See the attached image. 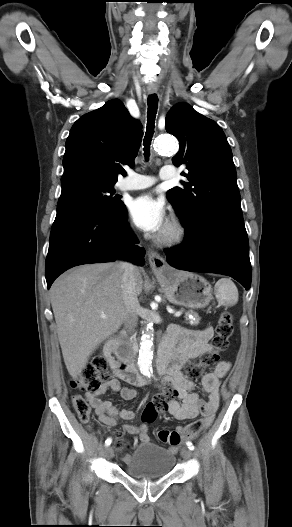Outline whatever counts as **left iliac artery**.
<instances>
[{
	"mask_svg": "<svg viewBox=\"0 0 292 527\" xmlns=\"http://www.w3.org/2000/svg\"><path fill=\"white\" fill-rule=\"evenodd\" d=\"M186 445H187V447H188L190 450H193L194 446H193L192 442L188 441V442H186Z\"/></svg>",
	"mask_w": 292,
	"mask_h": 527,
	"instance_id": "1",
	"label": "left iliac artery"
}]
</instances>
